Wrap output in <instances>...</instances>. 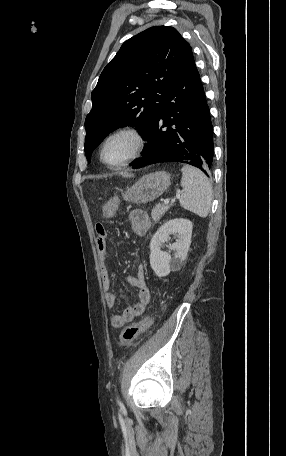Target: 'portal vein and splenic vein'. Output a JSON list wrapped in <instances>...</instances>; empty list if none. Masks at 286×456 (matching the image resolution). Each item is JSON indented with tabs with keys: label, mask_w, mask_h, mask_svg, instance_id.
Instances as JSON below:
<instances>
[{
	"label": "portal vein and splenic vein",
	"mask_w": 286,
	"mask_h": 456,
	"mask_svg": "<svg viewBox=\"0 0 286 456\" xmlns=\"http://www.w3.org/2000/svg\"><path fill=\"white\" fill-rule=\"evenodd\" d=\"M164 204H165V205L169 204V199H165V200H164Z\"/></svg>",
	"instance_id": "1"
}]
</instances>
